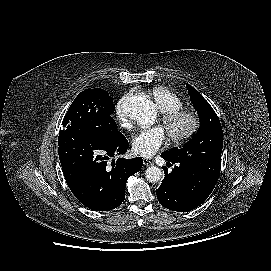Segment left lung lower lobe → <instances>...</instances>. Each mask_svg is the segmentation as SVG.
<instances>
[{
	"label": "left lung lower lobe",
	"mask_w": 271,
	"mask_h": 271,
	"mask_svg": "<svg viewBox=\"0 0 271 271\" xmlns=\"http://www.w3.org/2000/svg\"><path fill=\"white\" fill-rule=\"evenodd\" d=\"M161 157L168 161L167 164L176 163V166L171 173L163 167L165 178L156 190L159 203L178 212H188L200 206L212 193L218 179L193 166L176 162L166 153Z\"/></svg>",
	"instance_id": "obj_1"
}]
</instances>
